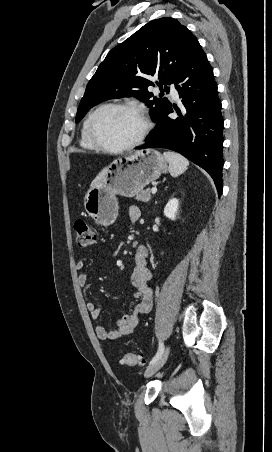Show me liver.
I'll return each instance as SVG.
<instances>
[{"label":"liver","mask_w":272,"mask_h":452,"mask_svg":"<svg viewBox=\"0 0 272 452\" xmlns=\"http://www.w3.org/2000/svg\"><path fill=\"white\" fill-rule=\"evenodd\" d=\"M108 168H104L96 177L95 179L92 181L91 185H90V189L94 188L95 186H97L98 183H100L102 181V179L104 178L106 172H107Z\"/></svg>","instance_id":"obj_1"}]
</instances>
